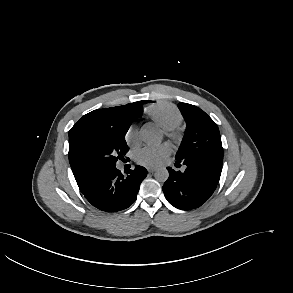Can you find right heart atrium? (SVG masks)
Here are the masks:
<instances>
[{
  "instance_id": "right-heart-atrium-1",
  "label": "right heart atrium",
  "mask_w": 293,
  "mask_h": 293,
  "mask_svg": "<svg viewBox=\"0 0 293 293\" xmlns=\"http://www.w3.org/2000/svg\"><path fill=\"white\" fill-rule=\"evenodd\" d=\"M125 142L128 146L133 147L136 146L139 142V134L138 129L135 125H130L124 136Z\"/></svg>"
}]
</instances>
